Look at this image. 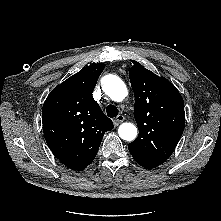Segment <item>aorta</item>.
<instances>
[{"label": "aorta", "mask_w": 221, "mask_h": 221, "mask_svg": "<svg viewBox=\"0 0 221 221\" xmlns=\"http://www.w3.org/2000/svg\"><path fill=\"white\" fill-rule=\"evenodd\" d=\"M103 91L116 102H121L128 95L125 83L116 75L109 74L102 79ZM118 134L125 141H133L137 136V128L132 123H123L119 126Z\"/></svg>", "instance_id": "762f6f07"}]
</instances>
